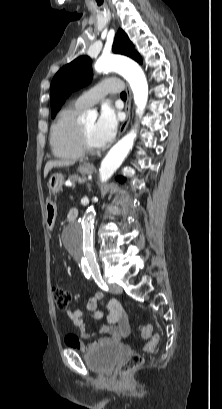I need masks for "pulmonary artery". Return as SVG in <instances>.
<instances>
[{
  "label": "pulmonary artery",
  "mask_w": 222,
  "mask_h": 409,
  "mask_svg": "<svg viewBox=\"0 0 222 409\" xmlns=\"http://www.w3.org/2000/svg\"><path fill=\"white\" fill-rule=\"evenodd\" d=\"M121 88L122 84L120 83H113L107 79L103 80L81 94L77 98L76 104L84 109L90 108L100 102L107 94L120 92Z\"/></svg>",
  "instance_id": "e3ab8cb5"
}]
</instances>
